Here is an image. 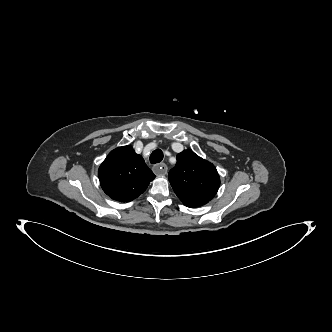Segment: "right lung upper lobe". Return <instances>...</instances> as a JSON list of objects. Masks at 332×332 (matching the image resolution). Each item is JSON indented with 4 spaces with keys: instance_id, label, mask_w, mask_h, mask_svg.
I'll list each match as a JSON object with an SVG mask.
<instances>
[{
    "instance_id": "1",
    "label": "right lung upper lobe",
    "mask_w": 332,
    "mask_h": 332,
    "mask_svg": "<svg viewBox=\"0 0 332 332\" xmlns=\"http://www.w3.org/2000/svg\"><path fill=\"white\" fill-rule=\"evenodd\" d=\"M98 175L103 191L120 202L137 198L155 178L142 156L129 145L112 150L100 165Z\"/></svg>"
}]
</instances>
